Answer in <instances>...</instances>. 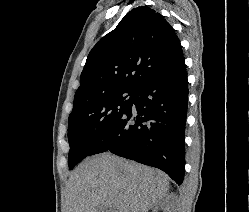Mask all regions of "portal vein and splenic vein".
<instances>
[{
    "label": "portal vein and splenic vein",
    "mask_w": 249,
    "mask_h": 212,
    "mask_svg": "<svg viewBox=\"0 0 249 212\" xmlns=\"http://www.w3.org/2000/svg\"><path fill=\"white\" fill-rule=\"evenodd\" d=\"M108 212H112L111 208H109Z\"/></svg>",
    "instance_id": "obj_1"
}]
</instances>
